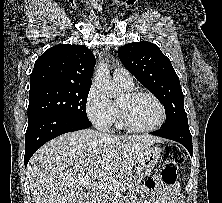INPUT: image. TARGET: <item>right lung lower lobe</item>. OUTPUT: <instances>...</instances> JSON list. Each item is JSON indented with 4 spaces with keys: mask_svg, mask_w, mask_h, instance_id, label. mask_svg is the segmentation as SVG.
<instances>
[{
    "mask_svg": "<svg viewBox=\"0 0 222 203\" xmlns=\"http://www.w3.org/2000/svg\"><path fill=\"white\" fill-rule=\"evenodd\" d=\"M90 126L91 122L88 119L56 114L40 115L29 119L25 135V166L31 156L49 140Z\"/></svg>",
    "mask_w": 222,
    "mask_h": 203,
    "instance_id": "98d812e1",
    "label": "right lung lower lobe"
}]
</instances>
